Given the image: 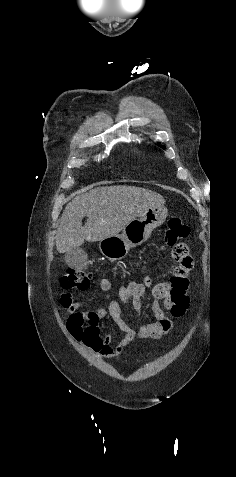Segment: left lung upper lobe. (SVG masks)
Listing matches in <instances>:
<instances>
[{"label": "left lung upper lobe", "mask_w": 236, "mask_h": 477, "mask_svg": "<svg viewBox=\"0 0 236 477\" xmlns=\"http://www.w3.org/2000/svg\"><path fill=\"white\" fill-rule=\"evenodd\" d=\"M161 147H162L163 149H165V147H164V146H161Z\"/></svg>", "instance_id": "1"}]
</instances>
